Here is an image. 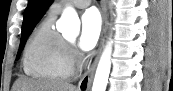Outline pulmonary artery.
I'll list each match as a JSON object with an SVG mask.
<instances>
[{"label": "pulmonary artery", "instance_id": "e3ab8cb5", "mask_svg": "<svg viewBox=\"0 0 173 91\" xmlns=\"http://www.w3.org/2000/svg\"><path fill=\"white\" fill-rule=\"evenodd\" d=\"M68 3L72 4L73 6L77 8H85L91 3V1L90 0H75V1H69ZM62 8H63V2L55 3L52 7V13L57 14L62 10Z\"/></svg>", "mask_w": 173, "mask_h": 91}]
</instances>
